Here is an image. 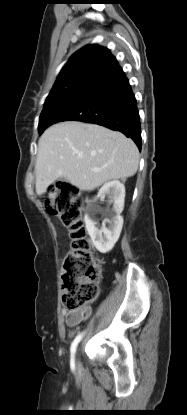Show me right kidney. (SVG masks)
Returning <instances> with one entry per match:
<instances>
[{
  "label": "right kidney",
  "mask_w": 187,
  "mask_h": 415,
  "mask_svg": "<svg viewBox=\"0 0 187 415\" xmlns=\"http://www.w3.org/2000/svg\"><path fill=\"white\" fill-rule=\"evenodd\" d=\"M105 197L108 198L110 204L113 203V208L111 210H101L98 205L94 204L89 213L85 215V224L88 234L93 245L101 253L109 252L119 239L123 226V217L120 214L124 208V185L118 180L105 183L99 190L97 198L104 201ZM95 212H100L105 216L101 228L96 226L97 222L94 220L93 216ZM106 223H109L108 228L105 226Z\"/></svg>",
  "instance_id": "ca27d5eb"
}]
</instances>
